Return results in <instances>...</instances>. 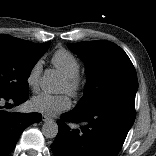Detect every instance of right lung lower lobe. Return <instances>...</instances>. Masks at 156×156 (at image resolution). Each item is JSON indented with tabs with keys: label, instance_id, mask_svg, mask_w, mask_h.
Returning <instances> with one entry per match:
<instances>
[{
	"label": "right lung lower lobe",
	"instance_id": "98d812e1",
	"mask_svg": "<svg viewBox=\"0 0 156 156\" xmlns=\"http://www.w3.org/2000/svg\"><path fill=\"white\" fill-rule=\"evenodd\" d=\"M29 94L13 96L0 92V156H8L22 132L31 124L40 122V113L8 112L6 108L25 102Z\"/></svg>",
	"mask_w": 156,
	"mask_h": 156
}]
</instances>
